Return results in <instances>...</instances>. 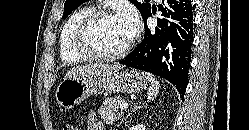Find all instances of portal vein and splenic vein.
I'll return each mask as SVG.
<instances>
[{
  "instance_id": "obj_1",
  "label": "portal vein and splenic vein",
  "mask_w": 249,
  "mask_h": 130,
  "mask_svg": "<svg viewBox=\"0 0 249 130\" xmlns=\"http://www.w3.org/2000/svg\"><path fill=\"white\" fill-rule=\"evenodd\" d=\"M128 103H122V104H120V109L121 110H126L127 108H128Z\"/></svg>"
}]
</instances>
